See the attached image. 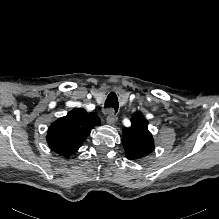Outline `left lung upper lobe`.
<instances>
[{
  "instance_id": "left-lung-upper-lobe-1",
  "label": "left lung upper lobe",
  "mask_w": 219,
  "mask_h": 219,
  "mask_svg": "<svg viewBox=\"0 0 219 219\" xmlns=\"http://www.w3.org/2000/svg\"><path fill=\"white\" fill-rule=\"evenodd\" d=\"M131 127L123 129L122 143L130 160H140L154 150V140L148 131V121L141 112L131 117Z\"/></svg>"
}]
</instances>
